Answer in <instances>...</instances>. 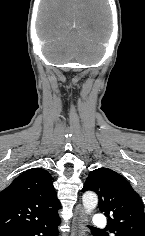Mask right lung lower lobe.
Returning <instances> with one entry per match:
<instances>
[{
  "mask_svg": "<svg viewBox=\"0 0 145 236\" xmlns=\"http://www.w3.org/2000/svg\"><path fill=\"white\" fill-rule=\"evenodd\" d=\"M59 224L60 218L57 217L36 228L2 233L0 236H58Z\"/></svg>",
  "mask_w": 145,
  "mask_h": 236,
  "instance_id": "obj_1",
  "label": "right lung lower lobe"
}]
</instances>
